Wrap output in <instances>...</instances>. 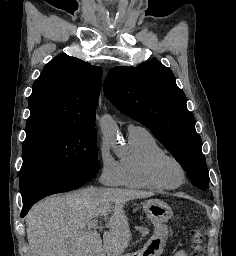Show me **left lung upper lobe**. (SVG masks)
Returning <instances> with one entry per match:
<instances>
[{
  "instance_id": "left-lung-upper-lobe-1",
  "label": "left lung upper lobe",
  "mask_w": 236,
  "mask_h": 256,
  "mask_svg": "<svg viewBox=\"0 0 236 256\" xmlns=\"http://www.w3.org/2000/svg\"><path fill=\"white\" fill-rule=\"evenodd\" d=\"M104 93L120 111L153 133L181 164L193 185L201 190L209 188L195 118L169 68L156 60L137 67H115L106 77Z\"/></svg>"
}]
</instances>
